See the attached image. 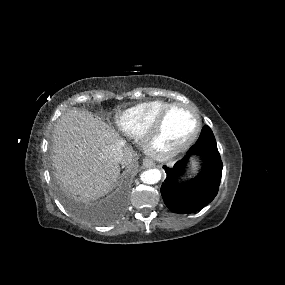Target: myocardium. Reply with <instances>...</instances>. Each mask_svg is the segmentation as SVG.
<instances>
[{
  "label": "myocardium",
  "mask_w": 285,
  "mask_h": 285,
  "mask_svg": "<svg viewBox=\"0 0 285 285\" xmlns=\"http://www.w3.org/2000/svg\"><path fill=\"white\" fill-rule=\"evenodd\" d=\"M178 107H183L190 110L196 117V127L192 133V135L180 145L169 148V149H158L155 146V142L159 137L164 122L170 112ZM202 130V119L199 111L192 105L183 103V102H175L169 105L166 109H164L161 114L157 117L151 127L147 130V132L142 137V147L145 153L151 156L153 159L158 161H168L178 156L179 154L185 152L188 148H190L198 139Z\"/></svg>",
  "instance_id": "1"
}]
</instances>
